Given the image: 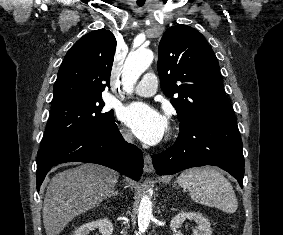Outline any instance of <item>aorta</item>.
<instances>
[{
    "mask_svg": "<svg viewBox=\"0 0 283 235\" xmlns=\"http://www.w3.org/2000/svg\"><path fill=\"white\" fill-rule=\"evenodd\" d=\"M154 55L149 49H138L131 52L124 64L122 72V84L130 93L141 74L151 65ZM152 218V202L149 196L142 197L138 207L139 232L144 233Z\"/></svg>",
    "mask_w": 283,
    "mask_h": 235,
    "instance_id": "1",
    "label": "aorta"
}]
</instances>
